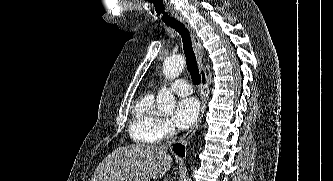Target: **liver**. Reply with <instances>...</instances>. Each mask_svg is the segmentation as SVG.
I'll return each mask as SVG.
<instances>
[{"instance_id": "obj_1", "label": "liver", "mask_w": 333, "mask_h": 181, "mask_svg": "<svg viewBox=\"0 0 333 181\" xmlns=\"http://www.w3.org/2000/svg\"><path fill=\"white\" fill-rule=\"evenodd\" d=\"M167 148L134 144L115 149L97 166L90 181H149L162 178L172 165Z\"/></svg>"}]
</instances>
